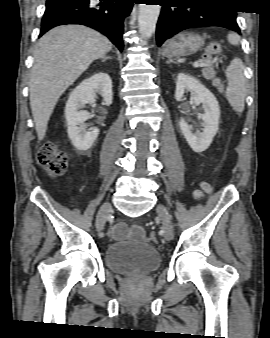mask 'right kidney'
I'll return each instance as SVG.
<instances>
[{
  "instance_id": "right-kidney-1",
  "label": "right kidney",
  "mask_w": 270,
  "mask_h": 338,
  "mask_svg": "<svg viewBox=\"0 0 270 338\" xmlns=\"http://www.w3.org/2000/svg\"><path fill=\"white\" fill-rule=\"evenodd\" d=\"M102 95L105 104L112 103V80L107 73L99 72L82 81L70 94L65 107L67 133L73 145L79 150H88L99 135V129L86 131L80 125L92 117L80 109L95 102L96 94Z\"/></svg>"
}]
</instances>
